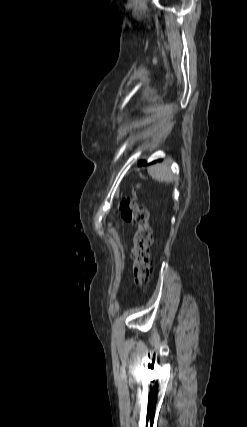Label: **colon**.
I'll return each mask as SVG.
<instances>
[{
    "label": "colon",
    "instance_id": "5ec220e1",
    "mask_svg": "<svg viewBox=\"0 0 247 427\" xmlns=\"http://www.w3.org/2000/svg\"><path fill=\"white\" fill-rule=\"evenodd\" d=\"M119 214L126 222L136 227L131 252L132 270L137 286L142 285L150 271V247L152 229L149 225V212L131 198H124L119 205Z\"/></svg>",
    "mask_w": 247,
    "mask_h": 427
}]
</instances>
